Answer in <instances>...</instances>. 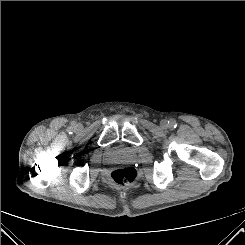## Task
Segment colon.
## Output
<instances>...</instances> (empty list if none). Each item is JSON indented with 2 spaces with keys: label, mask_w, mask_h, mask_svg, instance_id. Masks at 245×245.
I'll list each match as a JSON object with an SVG mask.
<instances>
[{
  "label": "colon",
  "mask_w": 245,
  "mask_h": 245,
  "mask_svg": "<svg viewBox=\"0 0 245 245\" xmlns=\"http://www.w3.org/2000/svg\"><path fill=\"white\" fill-rule=\"evenodd\" d=\"M111 179L118 186H132L137 180V172L130 166L115 168L111 172Z\"/></svg>",
  "instance_id": "5ec220e1"
}]
</instances>
